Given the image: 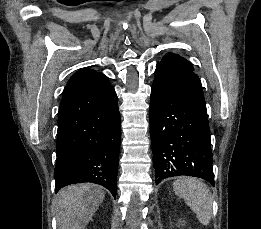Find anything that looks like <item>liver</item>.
Masks as SVG:
<instances>
[{"label":"liver","instance_id":"6515ba94","mask_svg":"<svg viewBox=\"0 0 261 229\" xmlns=\"http://www.w3.org/2000/svg\"><path fill=\"white\" fill-rule=\"evenodd\" d=\"M105 197L104 187L93 183L70 185L57 193L53 205L57 209L60 229H85Z\"/></svg>","mask_w":261,"mask_h":229}]
</instances>
